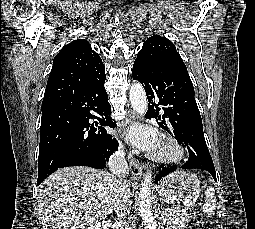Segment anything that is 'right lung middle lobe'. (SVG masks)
<instances>
[{
    "mask_svg": "<svg viewBox=\"0 0 255 229\" xmlns=\"http://www.w3.org/2000/svg\"><path fill=\"white\" fill-rule=\"evenodd\" d=\"M76 125L77 122L73 116L51 119L42 124L38 164L51 167L58 163Z\"/></svg>",
    "mask_w": 255,
    "mask_h": 229,
    "instance_id": "right-lung-middle-lobe-1",
    "label": "right lung middle lobe"
}]
</instances>
